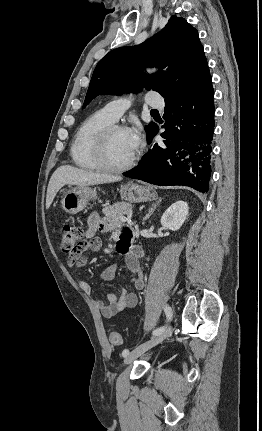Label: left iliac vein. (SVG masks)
Here are the masks:
<instances>
[{
	"label": "left iliac vein",
	"mask_w": 262,
	"mask_h": 431,
	"mask_svg": "<svg viewBox=\"0 0 262 431\" xmlns=\"http://www.w3.org/2000/svg\"><path fill=\"white\" fill-rule=\"evenodd\" d=\"M172 332V325L169 324L167 327L164 328V330L158 334L153 336L150 340L144 342L143 344L137 346L134 348L125 358L126 364L133 363L136 359L141 357L146 351L153 348L157 344L161 343L163 340H165Z\"/></svg>",
	"instance_id": "1"
}]
</instances>
